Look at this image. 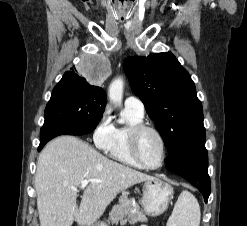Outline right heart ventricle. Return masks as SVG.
<instances>
[{
    "mask_svg": "<svg viewBox=\"0 0 247 226\" xmlns=\"http://www.w3.org/2000/svg\"><path fill=\"white\" fill-rule=\"evenodd\" d=\"M122 118L125 121L124 124L112 125L111 139L104 151L109 157L120 163L135 168H141L130 154L128 134L133 126L143 123L144 114L125 107L122 112Z\"/></svg>",
    "mask_w": 247,
    "mask_h": 226,
    "instance_id": "right-heart-ventricle-1",
    "label": "right heart ventricle"
}]
</instances>
